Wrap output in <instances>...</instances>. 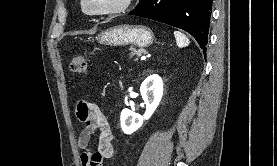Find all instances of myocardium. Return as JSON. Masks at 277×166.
I'll return each instance as SVG.
<instances>
[{
    "instance_id": "obj_1",
    "label": "myocardium",
    "mask_w": 277,
    "mask_h": 166,
    "mask_svg": "<svg viewBox=\"0 0 277 166\" xmlns=\"http://www.w3.org/2000/svg\"><path fill=\"white\" fill-rule=\"evenodd\" d=\"M132 0H118L117 2L107 5L98 9H88L87 8V0H80V9L81 11L87 15L92 17L97 16H107V15H115L125 12L131 5Z\"/></svg>"
}]
</instances>
